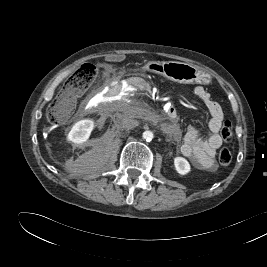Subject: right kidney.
I'll return each mask as SVG.
<instances>
[{"mask_svg": "<svg viewBox=\"0 0 267 267\" xmlns=\"http://www.w3.org/2000/svg\"><path fill=\"white\" fill-rule=\"evenodd\" d=\"M94 128V121L85 119L78 121L73 125L70 132L67 135L68 141L76 144L86 142Z\"/></svg>", "mask_w": 267, "mask_h": 267, "instance_id": "ca27d5eb", "label": "right kidney"}]
</instances>
